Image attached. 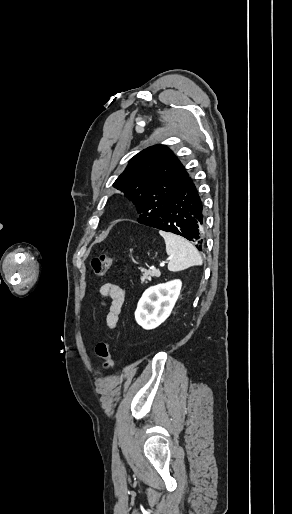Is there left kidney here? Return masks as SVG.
<instances>
[{"label":"left kidney","instance_id":"1","mask_svg":"<svg viewBox=\"0 0 292 514\" xmlns=\"http://www.w3.org/2000/svg\"><path fill=\"white\" fill-rule=\"evenodd\" d=\"M181 280L151 286L140 298L135 320L144 330H154L169 318L180 294Z\"/></svg>","mask_w":292,"mask_h":514}]
</instances>
